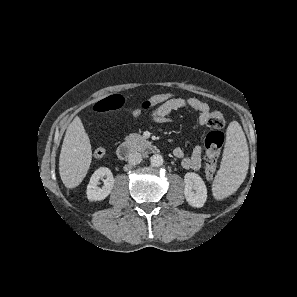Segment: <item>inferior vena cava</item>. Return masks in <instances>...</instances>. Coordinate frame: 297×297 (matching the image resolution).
<instances>
[{
	"mask_svg": "<svg viewBox=\"0 0 297 297\" xmlns=\"http://www.w3.org/2000/svg\"><path fill=\"white\" fill-rule=\"evenodd\" d=\"M142 161V155L135 151V152H131L128 155V163L131 165H137Z\"/></svg>",
	"mask_w": 297,
	"mask_h": 297,
	"instance_id": "602c4592",
	"label": "inferior vena cava"
}]
</instances>
